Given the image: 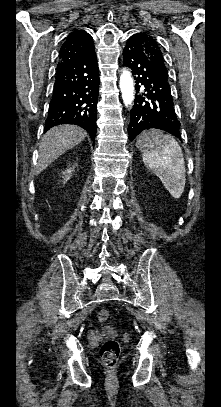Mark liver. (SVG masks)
Returning <instances> with one entry per match:
<instances>
[{"label":"liver","mask_w":221,"mask_h":407,"mask_svg":"<svg viewBox=\"0 0 221 407\" xmlns=\"http://www.w3.org/2000/svg\"><path fill=\"white\" fill-rule=\"evenodd\" d=\"M86 132L75 125H59L51 128L39 146L36 175L40 174L58 157L85 139Z\"/></svg>","instance_id":"obj_1"}]
</instances>
